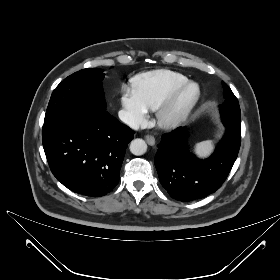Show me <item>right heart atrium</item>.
Returning <instances> with one entry per match:
<instances>
[{"label": "right heart atrium", "mask_w": 280, "mask_h": 280, "mask_svg": "<svg viewBox=\"0 0 280 280\" xmlns=\"http://www.w3.org/2000/svg\"><path fill=\"white\" fill-rule=\"evenodd\" d=\"M121 104L125 120L130 126L138 127L145 122L147 109L140 102L132 88L123 86L121 91Z\"/></svg>", "instance_id": "1"}]
</instances>
